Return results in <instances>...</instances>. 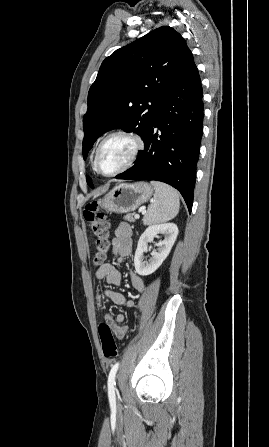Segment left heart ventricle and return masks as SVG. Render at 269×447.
Here are the masks:
<instances>
[{"instance_id":"b2bd125f","label":"left heart ventricle","mask_w":269,"mask_h":447,"mask_svg":"<svg viewBox=\"0 0 269 447\" xmlns=\"http://www.w3.org/2000/svg\"><path fill=\"white\" fill-rule=\"evenodd\" d=\"M135 142L125 135H117L109 139L103 146L99 166L104 172L114 171L127 163L133 150Z\"/></svg>"}]
</instances>
